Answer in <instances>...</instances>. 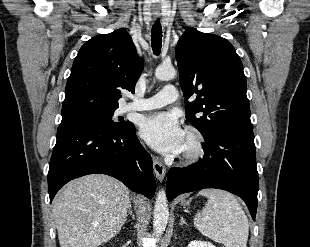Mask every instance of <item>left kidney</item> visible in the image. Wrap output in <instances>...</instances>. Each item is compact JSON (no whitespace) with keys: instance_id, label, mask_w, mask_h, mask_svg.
<instances>
[{"instance_id":"1","label":"left kidney","mask_w":310,"mask_h":247,"mask_svg":"<svg viewBox=\"0 0 310 247\" xmlns=\"http://www.w3.org/2000/svg\"><path fill=\"white\" fill-rule=\"evenodd\" d=\"M188 247H215L212 243L210 242H205V241H191L188 245Z\"/></svg>"}]
</instances>
